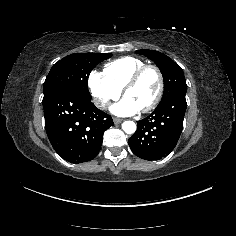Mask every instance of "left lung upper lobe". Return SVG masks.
<instances>
[{
	"label": "left lung upper lobe",
	"mask_w": 236,
	"mask_h": 236,
	"mask_svg": "<svg viewBox=\"0 0 236 236\" xmlns=\"http://www.w3.org/2000/svg\"><path fill=\"white\" fill-rule=\"evenodd\" d=\"M136 53L144 55L153 60L160 69L164 80V94L162 100L177 92H186L187 86L182 68L165 54L142 49Z\"/></svg>",
	"instance_id": "1"
}]
</instances>
